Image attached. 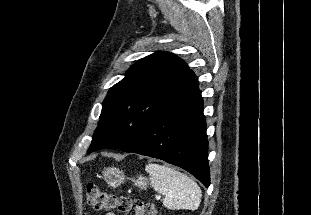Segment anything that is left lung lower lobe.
<instances>
[{
    "mask_svg": "<svg viewBox=\"0 0 311 215\" xmlns=\"http://www.w3.org/2000/svg\"><path fill=\"white\" fill-rule=\"evenodd\" d=\"M207 149L203 98L196 77L163 106L130 143L121 148L124 152L158 158L179 166L208 187Z\"/></svg>",
    "mask_w": 311,
    "mask_h": 215,
    "instance_id": "left-lung-lower-lobe-1",
    "label": "left lung lower lobe"
}]
</instances>
